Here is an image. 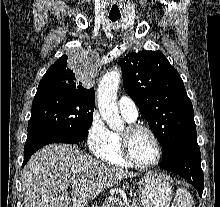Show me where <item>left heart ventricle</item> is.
<instances>
[{
	"mask_svg": "<svg viewBox=\"0 0 220 207\" xmlns=\"http://www.w3.org/2000/svg\"><path fill=\"white\" fill-rule=\"evenodd\" d=\"M130 151L134 160L140 164H150L157 157L155 143L145 131H137L131 135Z\"/></svg>",
	"mask_w": 220,
	"mask_h": 207,
	"instance_id": "left-heart-ventricle-1",
	"label": "left heart ventricle"
}]
</instances>
